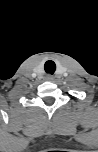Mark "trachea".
Here are the masks:
<instances>
[{"instance_id":"1","label":"trachea","mask_w":98,"mask_h":152,"mask_svg":"<svg viewBox=\"0 0 98 152\" xmlns=\"http://www.w3.org/2000/svg\"><path fill=\"white\" fill-rule=\"evenodd\" d=\"M44 69L46 73L53 74L56 70V64L52 60H48L44 65Z\"/></svg>"}]
</instances>
